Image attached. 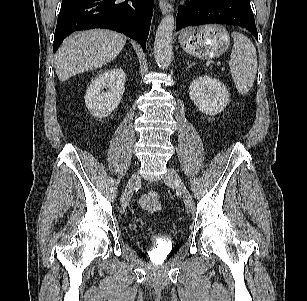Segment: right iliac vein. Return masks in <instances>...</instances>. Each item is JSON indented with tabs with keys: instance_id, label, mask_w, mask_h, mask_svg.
<instances>
[{
	"instance_id": "obj_1",
	"label": "right iliac vein",
	"mask_w": 307,
	"mask_h": 301,
	"mask_svg": "<svg viewBox=\"0 0 307 301\" xmlns=\"http://www.w3.org/2000/svg\"><path fill=\"white\" fill-rule=\"evenodd\" d=\"M140 181V176L137 172L133 173L129 179V182L127 184V187L122 195L121 198V206L122 208H126L127 205L129 204V201L131 199V196L133 194V191L136 187V185L139 183Z\"/></svg>"
}]
</instances>
